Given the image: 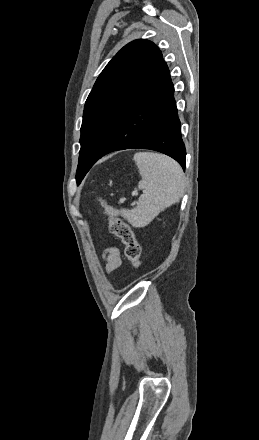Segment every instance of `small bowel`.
I'll return each instance as SVG.
<instances>
[{
	"mask_svg": "<svg viewBox=\"0 0 259 440\" xmlns=\"http://www.w3.org/2000/svg\"><path fill=\"white\" fill-rule=\"evenodd\" d=\"M104 260L106 263V271L112 273L118 269L122 263L120 252L115 247H109L104 252Z\"/></svg>",
	"mask_w": 259,
	"mask_h": 440,
	"instance_id": "1",
	"label": "small bowel"
}]
</instances>
